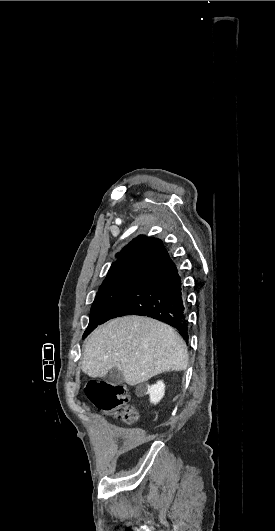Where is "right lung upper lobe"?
Segmentation results:
<instances>
[{
  "label": "right lung upper lobe",
  "mask_w": 275,
  "mask_h": 531,
  "mask_svg": "<svg viewBox=\"0 0 275 531\" xmlns=\"http://www.w3.org/2000/svg\"><path fill=\"white\" fill-rule=\"evenodd\" d=\"M165 251L160 239L140 235L116 255L118 259L112 263L107 276L130 269H146Z\"/></svg>",
  "instance_id": "right-lung-upper-lobe-1"
}]
</instances>
